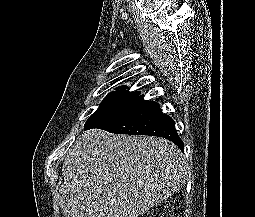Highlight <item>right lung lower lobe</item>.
Wrapping results in <instances>:
<instances>
[{"mask_svg":"<svg viewBox=\"0 0 255 217\" xmlns=\"http://www.w3.org/2000/svg\"><path fill=\"white\" fill-rule=\"evenodd\" d=\"M92 128L115 134L158 136L172 141L182 151L184 149L174 120L162 113L158 103L145 101L143 96L84 126L85 130Z\"/></svg>","mask_w":255,"mask_h":217,"instance_id":"obj_1","label":"right lung lower lobe"}]
</instances>
